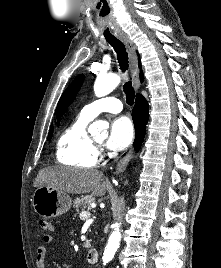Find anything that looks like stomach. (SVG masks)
I'll return each instance as SVG.
<instances>
[{
	"instance_id": "0dacf381",
	"label": "stomach",
	"mask_w": 221,
	"mask_h": 268,
	"mask_svg": "<svg viewBox=\"0 0 221 268\" xmlns=\"http://www.w3.org/2000/svg\"><path fill=\"white\" fill-rule=\"evenodd\" d=\"M32 204L37 214L49 219L66 213L72 200L65 192L41 186L34 191Z\"/></svg>"
}]
</instances>
